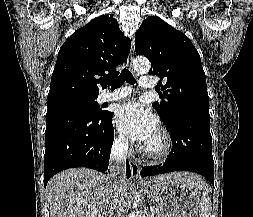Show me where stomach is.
<instances>
[{"label": "stomach", "mask_w": 253, "mask_h": 217, "mask_svg": "<svg viewBox=\"0 0 253 217\" xmlns=\"http://www.w3.org/2000/svg\"><path fill=\"white\" fill-rule=\"evenodd\" d=\"M142 187L158 203L164 217H198L201 205L199 187L174 177L145 182Z\"/></svg>", "instance_id": "stomach-1"}]
</instances>
